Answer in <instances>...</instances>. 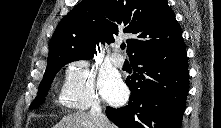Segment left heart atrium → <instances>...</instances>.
Returning a JSON list of instances; mask_svg holds the SVG:
<instances>
[{"mask_svg":"<svg viewBox=\"0 0 221 128\" xmlns=\"http://www.w3.org/2000/svg\"><path fill=\"white\" fill-rule=\"evenodd\" d=\"M101 91L108 101L118 102L126 95L125 87L119 82L115 75H104L100 82Z\"/></svg>","mask_w":221,"mask_h":128,"instance_id":"left-heart-atrium-1","label":"left heart atrium"}]
</instances>
